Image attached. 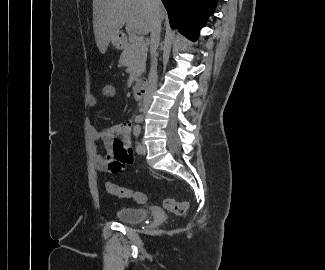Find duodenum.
I'll return each mask as SVG.
<instances>
[{
  "mask_svg": "<svg viewBox=\"0 0 325 270\" xmlns=\"http://www.w3.org/2000/svg\"><path fill=\"white\" fill-rule=\"evenodd\" d=\"M147 82L145 80H139L136 82L134 89H133V97L137 101H141L144 97L146 92Z\"/></svg>",
  "mask_w": 325,
  "mask_h": 270,
  "instance_id": "obj_1",
  "label": "duodenum"
}]
</instances>
